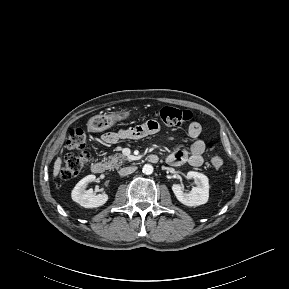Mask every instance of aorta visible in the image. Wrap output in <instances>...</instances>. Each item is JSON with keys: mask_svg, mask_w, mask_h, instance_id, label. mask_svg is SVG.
<instances>
[{"mask_svg": "<svg viewBox=\"0 0 289 289\" xmlns=\"http://www.w3.org/2000/svg\"><path fill=\"white\" fill-rule=\"evenodd\" d=\"M142 171H143L144 174L150 175V174L153 173V166L150 165V164H145V165L143 166V170H142Z\"/></svg>", "mask_w": 289, "mask_h": 289, "instance_id": "aorta-1", "label": "aorta"}]
</instances>
